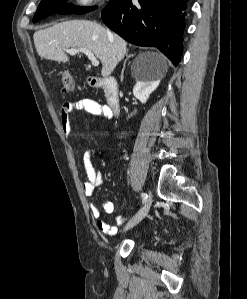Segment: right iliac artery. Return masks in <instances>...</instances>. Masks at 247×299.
<instances>
[{"label": "right iliac artery", "instance_id": "1", "mask_svg": "<svg viewBox=\"0 0 247 299\" xmlns=\"http://www.w3.org/2000/svg\"><path fill=\"white\" fill-rule=\"evenodd\" d=\"M141 197H142V201H143V203L147 201L148 196H147L146 193H142V194H141Z\"/></svg>", "mask_w": 247, "mask_h": 299}]
</instances>
